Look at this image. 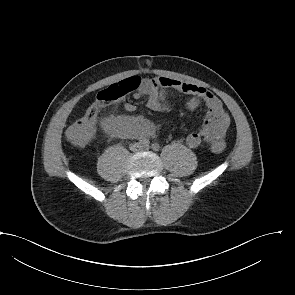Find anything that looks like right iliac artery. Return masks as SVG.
I'll return each mask as SVG.
<instances>
[{"label": "right iliac artery", "instance_id": "right-iliac-artery-1", "mask_svg": "<svg viewBox=\"0 0 295 295\" xmlns=\"http://www.w3.org/2000/svg\"><path fill=\"white\" fill-rule=\"evenodd\" d=\"M141 144H143L144 146H148L150 144L149 139L147 138H143L140 140Z\"/></svg>", "mask_w": 295, "mask_h": 295}]
</instances>
